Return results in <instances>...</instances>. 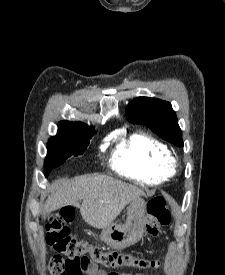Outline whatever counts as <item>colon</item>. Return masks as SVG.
I'll return each instance as SVG.
<instances>
[{
	"instance_id": "colon-1",
	"label": "colon",
	"mask_w": 225,
	"mask_h": 275,
	"mask_svg": "<svg viewBox=\"0 0 225 275\" xmlns=\"http://www.w3.org/2000/svg\"><path fill=\"white\" fill-rule=\"evenodd\" d=\"M74 218L71 208H63L52 216L46 227V240L56 250L68 254L73 259L64 260L60 255L49 259L51 275H94L97 264L109 268L152 269L158 267L155 260L139 258L117 251H107L86 240L75 238L70 233L69 223ZM172 215L162 197L153 198L147 205L146 231L158 236L162 228L171 221ZM109 275H117L110 272Z\"/></svg>"
}]
</instances>
